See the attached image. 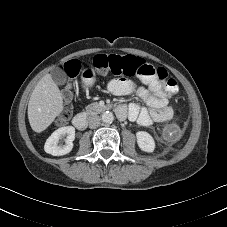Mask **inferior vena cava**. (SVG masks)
<instances>
[{
	"label": "inferior vena cava",
	"instance_id": "1",
	"mask_svg": "<svg viewBox=\"0 0 227 227\" xmlns=\"http://www.w3.org/2000/svg\"><path fill=\"white\" fill-rule=\"evenodd\" d=\"M88 123L91 129L97 128L100 125V117L97 115H93L89 117Z\"/></svg>",
	"mask_w": 227,
	"mask_h": 227
}]
</instances>
